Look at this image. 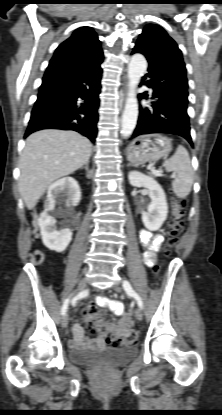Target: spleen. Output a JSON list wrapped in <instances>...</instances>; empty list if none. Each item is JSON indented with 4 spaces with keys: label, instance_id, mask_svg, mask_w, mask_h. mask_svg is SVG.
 <instances>
[{
    "label": "spleen",
    "instance_id": "3e777b00",
    "mask_svg": "<svg viewBox=\"0 0 222 415\" xmlns=\"http://www.w3.org/2000/svg\"><path fill=\"white\" fill-rule=\"evenodd\" d=\"M164 167L167 172H173L176 177L172 181V188L178 198H186L191 192L194 173L188 151L181 145L175 154L166 159Z\"/></svg>",
    "mask_w": 222,
    "mask_h": 415
}]
</instances>
